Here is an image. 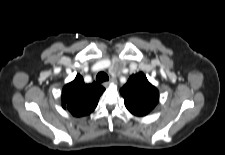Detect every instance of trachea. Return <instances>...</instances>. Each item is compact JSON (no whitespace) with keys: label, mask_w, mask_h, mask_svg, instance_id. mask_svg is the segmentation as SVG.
I'll list each match as a JSON object with an SVG mask.
<instances>
[{"label":"trachea","mask_w":225,"mask_h":155,"mask_svg":"<svg viewBox=\"0 0 225 155\" xmlns=\"http://www.w3.org/2000/svg\"><path fill=\"white\" fill-rule=\"evenodd\" d=\"M108 80H109V77L105 72H99L96 76V81L99 84Z\"/></svg>","instance_id":"trachea-1"}]
</instances>
